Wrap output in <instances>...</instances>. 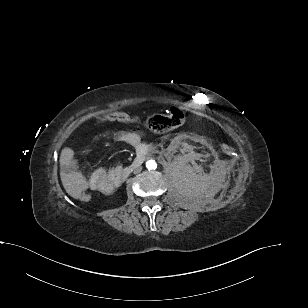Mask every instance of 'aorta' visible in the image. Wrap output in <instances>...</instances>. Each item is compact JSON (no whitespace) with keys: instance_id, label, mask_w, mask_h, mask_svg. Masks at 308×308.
<instances>
[{"instance_id":"obj_1","label":"aorta","mask_w":308,"mask_h":308,"mask_svg":"<svg viewBox=\"0 0 308 308\" xmlns=\"http://www.w3.org/2000/svg\"><path fill=\"white\" fill-rule=\"evenodd\" d=\"M146 167H147V169H149V170H154V169H156L157 164H156V162H155L154 160H148V161L146 162Z\"/></svg>"}]
</instances>
